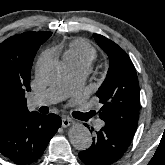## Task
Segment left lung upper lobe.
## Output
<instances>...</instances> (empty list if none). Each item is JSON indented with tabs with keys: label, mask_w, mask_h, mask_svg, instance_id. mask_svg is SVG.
Wrapping results in <instances>:
<instances>
[{
	"label": "left lung upper lobe",
	"mask_w": 165,
	"mask_h": 165,
	"mask_svg": "<svg viewBox=\"0 0 165 165\" xmlns=\"http://www.w3.org/2000/svg\"><path fill=\"white\" fill-rule=\"evenodd\" d=\"M93 36L110 60L106 79L96 93L99 102L103 104L99 117L105 123L134 135L140 105L135 67L130 57L116 43L99 34Z\"/></svg>",
	"instance_id": "5c2ea615"
}]
</instances>
